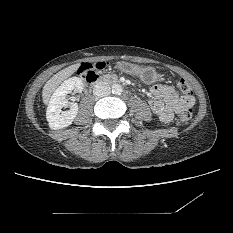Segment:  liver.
I'll return each instance as SVG.
<instances>
[{
  "mask_svg": "<svg viewBox=\"0 0 233 233\" xmlns=\"http://www.w3.org/2000/svg\"><path fill=\"white\" fill-rule=\"evenodd\" d=\"M80 64H73L51 77L43 87L42 99L44 104H48L51 94L55 91L57 86L66 78L71 76L78 68Z\"/></svg>",
  "mask_w": 233,
  "mask_h": 233,
  "instance_id": "1",
  "label": "liver"
}]
</instances>
